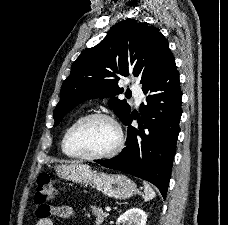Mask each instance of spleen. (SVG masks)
I'll return each instance as SVG.
<instances>
[{
    "mask_svg": "<svg viewBox=\"0 0 228 225\" xmlns=\"http://www.w3.org/2000/svg\"><path fill=\"white\" fill-rule=\"evenodd\" d=\"M144 185V201H151V199H154L156 197V193H154L152 187L146 183V181H143Z\"/></svg>",
    "mask_w": 228,
    "mask_h": 225,
    "instance_id": "spleen-1",
    "label": "spleen"
}]
</instances>
